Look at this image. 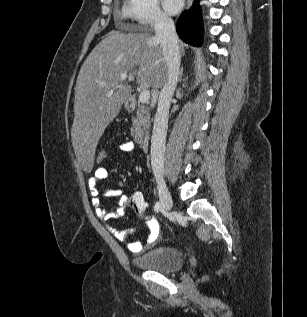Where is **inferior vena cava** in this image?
<instances>
[{
	"label": "inferior vena cava",
	"mask_w": 307,
	"mask_h": 317,
	"mask_svg": "<svg viewBox=\"0 0 307 317\" xmlns=\"http://www.w3.org/2000/svg\"><path fill=\"white\" fill-rule=\"evenodd\" d=\"M154 30L156 33L155 38L163 50L168 75L167 82L159 95L151 138V166L154 176L160 178L164 171L165 142L170 102L178 83L181 56L175 25L170 17L160 14L155 21Z\"/></svg>",
	"instance_id": "602c4592"
}]
</instances>
